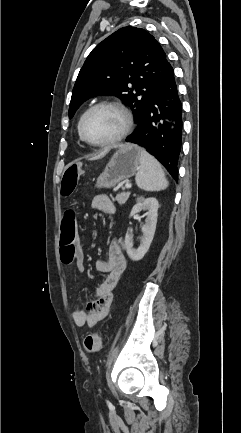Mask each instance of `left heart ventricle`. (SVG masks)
Listing matches in <instances>:
<instances>
[{"instance_id":"1","label":"left heart ventricle","mask_w":241,"mask_h":433,"mask_svg":"<svg viewBox=\"0 0 241 433\" xmlns=\"http://www.w3.org/2000/svg\"><path fill=\"white\" fill-rule=\"evenodd\" d=\"M123 127V118L118 111L102 107L91 112L83 126L85 137L91 142H103L116 136Z\"/></svg>"}]
</instances>
